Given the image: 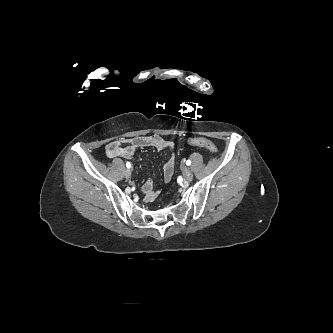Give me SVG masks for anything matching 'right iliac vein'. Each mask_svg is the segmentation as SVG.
Listing matches in <instances>:
<instances>
[{"mask_svg":"<svg viewBox=\"0 0 333 333\" xmlns=\"http://www.w3.org/2000/svg\"><path fill=\"white\" fill-rule=\"evenodd\" d=\"M124 174H125V177L127 179H129L131 177V170L130 169H126L125 172H124Z\"/></svg>","mask_w":333,"mask_h":333,"instance_id":"63e3f726","label":"right iliac vein"}]
</instances>
